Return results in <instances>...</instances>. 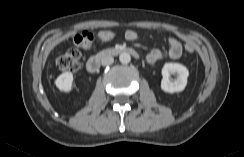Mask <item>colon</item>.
<instances>
[{
	"mask_svg": "<svg viewBox=\"0 0 244 157\" xmlns=\"http://www.w3.org/2000/svg\"><path fill=\"white\" fill-rule=\"evenodd\" d=\"M116 32L111 30H104L97 34V39L101 42H108L115 39ZM95 41V36L90 31H83L77 34L74 38V43L77 47L82 49L90 48ZM185 51L192 53L194 47L188 43L185 45ZM56 67L61 71H77L80 65V51L77 48H71L62 55L58 56L55 60Z\"/></svg>",
	"mask_w": 244,
	"mask_h": 157,
	"instance_id": "colon-1",
	"label": "colon"
}]
</instances>
